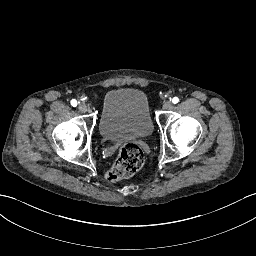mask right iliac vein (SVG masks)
<instances>
[{"mask_svg":"<svg viewBox=\"0 0 256 256\" xmlns=\"http://www.w3.org/2000/svg\"><path fill=\"white\" fill-rule=\"evenodd\" d=\"M78 109L80 112L85 113L87 111V106L85 103H81L79 104Z\"/></svg>","mask_w":256,"mask_h":256,"instance_id":"1","label":"right iliac vein"}]
</instances>
